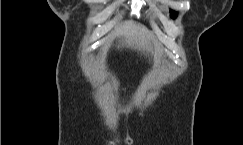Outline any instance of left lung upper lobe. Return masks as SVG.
<instances>
[{
    "mask_svg": "<svg viewBox=\"0 0 243 145\" xmlns=\"http://www.w3.org/2000/svg\"><path fill=\"white\" fill-rule=\"evenodd\" d=\"M176 16H177V13H175V12H172V13H171V17H172V18H176Z\"/></svg>",
    "mask_w": 243,
    "mask_h": 145,
    "instance_id": "1",
    "label": "left lung upper lobe"
}]
</instances>
